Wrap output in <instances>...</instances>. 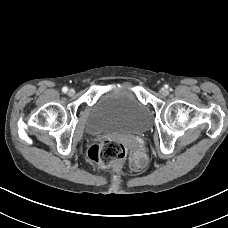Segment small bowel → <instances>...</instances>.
I'll list each match as a JSON object with an SVG mask.
<instances>
[{
	"mask_svg": "<svg viewBox=\"0 0 228 228\" xmlns=\"http://www.w3.org/2000/svg\"><path fill=\"white\" fill-rule=\"evenodd\" d=\"M130 165L135 171L142 170L147 165V158L145 154L138 150H133L130 154Z\"/></svg>",
	"mask_w": 228,
	"mask_h": 228,
	"instance_id": "small-bowel-1",
	"label": "small bowel"
}]
</instances>
